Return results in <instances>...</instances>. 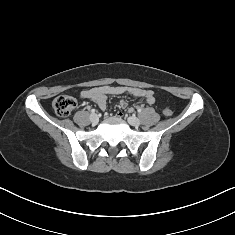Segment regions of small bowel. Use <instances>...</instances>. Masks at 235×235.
<instances>
[{
	"label": "small bowel",
	"instance_id": "small-bowel-1",
	"mask_svg": "<svg viewBox=\"0 0 235 235\" xmlns=\"http://www.w3.org/2000/svg\"><path fill=\"white\" fill-rule=\"evenodd\" d=\"M129 94L135 99H142L149 105H154L156 99L151 90H146L137 87H117V86H100L92 89L83 90L80 93L81 99H88L94 101L100 109L104 110L106 108V101L108 97L119 96L122 94ZM121 106L124 107L126 102L122 100L120 102Z\"/></svg>",
	"mask_w": 235,
	"mask_h": 235
}]
</instances>
